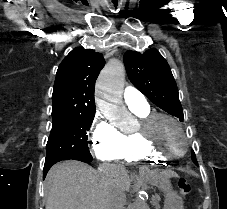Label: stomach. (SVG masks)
I'll use <instances>...</instances> for the list:
<instances>
[{
  "mask_svg": "<svg viewBox=\"0 0 227 209\" xmlns=\"http://www.w3.org/2000/svg\"><path fill=\"white\" fill-rule=\"evenodd\" d=\"M146 180L165 193L164 209H183L182 198L173 190L168 178L158 172H152Z\"/></svg>",
  "mask_w": 227,
  "mask_h": 209,
  "instance_id": "obj_1",
  "label": "stomach"
}]
</instances>
